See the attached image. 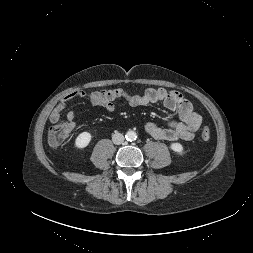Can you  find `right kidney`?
I'll list each match as a JSON object with an SVG mask.
<instances>
[{"instance_id":"right-kidney-1","label":"right kidney","mask_w":253,"mask_h":253,"mask_svg":"<svg viewBox=\"0 0 253 253\" xmlns=\"http://www.w3.org/2000/svg\"><path fill=\"white\" fill-rule=\"evenodd\" d=\"M91 134L89 132L80 133L75 140V147L78 149H83L87 147L91 141Z\"/></svg>"}]
</instances>
